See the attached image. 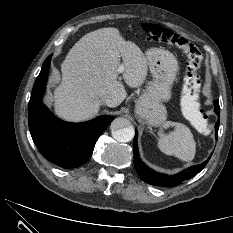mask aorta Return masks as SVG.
<instances>
[{
    "mask_svg": "<svg viewBox=\"0 0 233 233\" xmlns=\"http://www.w3.org/2000/svg\"><path fill=\"white\" fill-rule=\"evenodd\" d=\"M110 127L113 138L118 142H130L134 137V128L126 118L119 117L114 119Z\"/></svg>",
    "mask_w": 233,
    "mask_h": 233,
    "instance_id": "aorta-1",
    "label": "aorta"
}]
</instances>
